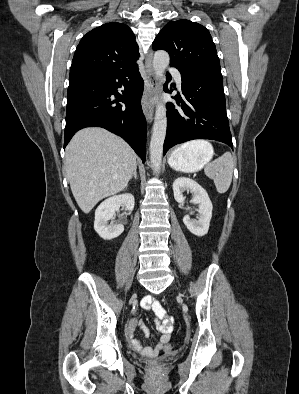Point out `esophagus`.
I'll list each match as a JSON object with an SVG mask.
<instances>
[{"label": "esophagus", "instance_id": "esophagus-1", "mask_svg": "<svg viewBox=\"0 0 299 394\" xmlns=\"http://www.w3.org/2000/svg\"><path fill=\"white\" fill-rule=\"evenodd\" d=\"M145 70H146L147 86L144 89L141 103H142V109L144 114L146 115L147 119L151 121L154 113L153 98L155 94L158 92V83L152 67L151 51H149L145 61Z\"/></svg>", "mask_w": 299, "mask_h": 394}]
</instances>
